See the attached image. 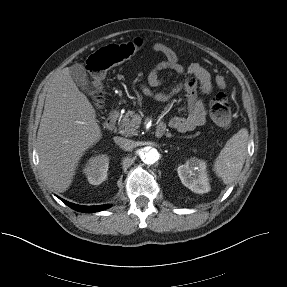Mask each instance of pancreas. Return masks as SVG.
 Listing matches in <instances>:
<instances>
[{
  "instance_id": "cf45deb5",
  "label": "pancreas",
  "mask_w": 287,
  "mask_h": 287,
  "mask_svg": "<svg viewBox=\"0 0 287 287\" xmlns=\"http://www.w3.org/2000/svg\"><path fill=\"white\" fill-rule=\"evenodd\" d=\"M134 115V111L128 110L125 114L121 115V119L119 120V131L126 137L138 135L139 125L133 120Z\"/></svg>"
}]
</instances>
